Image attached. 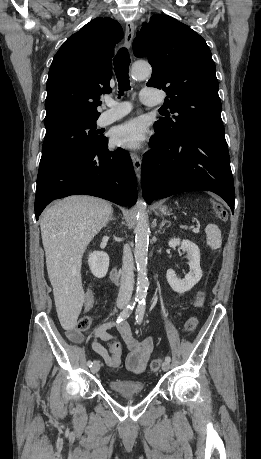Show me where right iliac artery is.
<instances>
[{"label": "right iliac artery", "mask_w": 261, "mask_h": 459, "mask_svg": "<svg viewBox=\"0 0 261 459\" xmlns=\"http://www.w3.org/2000/svg\"><path fill=\"white\" fill-rule=\"evenodd\" d=\"M136 302H137V300H134V301H132L130 304H128V305L125 307V309H124V310L120 313V315L118 316L117 322H121V321L127 319V318L130 316V314H131L133 308L135 307ZM87 365H88L89 367H92L93 362H92L91 360H89V361L87 362Z\"/></svg>", "instance_id": "obj_1"}]
</instances>
